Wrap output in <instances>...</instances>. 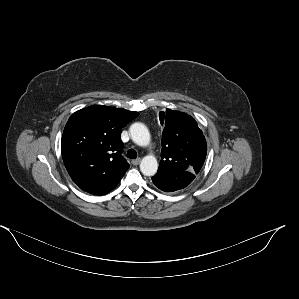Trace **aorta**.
<instances>
[{
	"label": "aorta",
	"instance_id": "obj_1",
	"mask_svg": "<svg viewBox=\"0 0 299 299\" xmlns=\"http://www.w3.org/2000/svg\"><path fill=\"white\" fill-rule=\"evenodd\" d=\"M131 139L139 146H148L150 134L147 127L140 122L133 123L129 128ZM158 169L157 159L153 155L145 156L140 163V170L146 176H153Z\"/></svg>",
	"mask_w": 299,
	"mask_h": 299
}]
</instances>
